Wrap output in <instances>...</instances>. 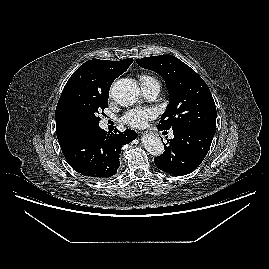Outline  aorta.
<instances>
[{
	"mask_svg": "<svg viewBox=\"0 0 269 269\" xmlns=\"http://www.w3.org/2000/svg\"><path fill=\"white\" fill-rule=\"evenodd\" d=\"M139 95V86L132 79H119L111 87L112 98L121 106L133 105L138 100ZM142 143L147 152L153 156H160L164 153V145L158 136L144 135Z\"/></svg>",
	"mask_w": 269,
	"mask_h": 269,
	"instance_id": "762f6f07",
	"label": "aorta"
}]
</instances>
